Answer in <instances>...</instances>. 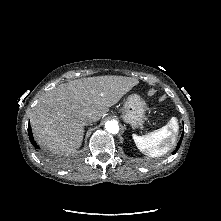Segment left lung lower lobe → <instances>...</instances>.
<instances>
[{"mask_svg": "<svg viewBox=\"0 0 221 221\" xmlns=\"http://www.w3.org/2000/svg\"><path fill=\"white\" fill-rule=\"evenodd\" d=\"M183 135H184V133L182 134L181 139H180L179 143L177 144L176 150L173 151L172 154H175L176 151L179 149V147H180V145H181V141H182Z\"/></svg>", "mask_w": 221, "mask_h": 221, "instance_id": "1", "label": "left lung lower lobe"}]
</instances>
